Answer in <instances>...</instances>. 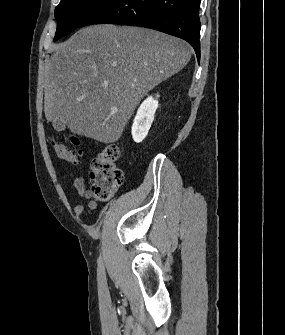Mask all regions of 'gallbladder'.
I'll return each mask as SVG.
<instances>
[{
	"mask_svg": "<svg viewBox=\"0 0 285 335\" xmlns=\"http://www.w3.org/2000/svg\"><path fill=\"white\" fill-rule=\"evenodd\" d=\"M53 128L54 130H57V132H61V130H64L65 124H62V122L57 120V122H53Z\"/></svg>",
	"mask_w": 285,
	"mask_h": 335,
	"instance_id": "obj_1",
	"label": "gallbladder"
}]
</instances>
